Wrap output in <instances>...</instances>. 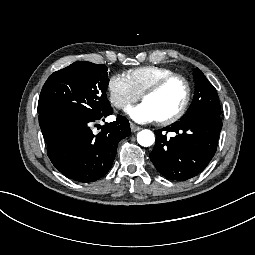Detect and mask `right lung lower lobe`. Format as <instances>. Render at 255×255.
Returning <instances> with one entry per match:
<instances>
[{
    "mask_svg": "<svg viewBox=\"0 0 255 255\" xmlns=\"http://www.w3.org/2000/svg\"><path fill=\"white\" fill-rule=\"evenodd\" d=\"M95 127L96 135L89 123H83L57 128L45 138L49 159L68 178L86 183L103 177L113 164L118 142L131 133L128 119L120 115L114 122Z\"/></svg>",
    "mask_w": 255,
    "mask_h": 255,
    "instance_id": "right-lung-lower-lobe-1",
    "label": "right lung lower lobe"
}]
</instances>
